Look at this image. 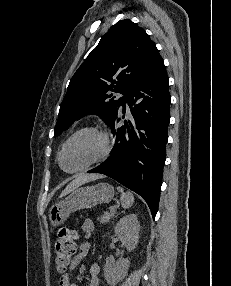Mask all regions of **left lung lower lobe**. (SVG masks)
<instances>
[{
	"instance_id": "obj_1",
	"label": "left lung lower lobe",
	"mask_w": 231,
	"mask_h": 286,
	"mask_svg": "<svg viewBox=\"0 0 231 286\" xmlns=\"http://www.w3.org/2000/svg\"><path fill=\"white\" fill-rule=\"evenodd\" d=\"M125 102L131 111L129 121L119 126L117 113L109 125L116 137L112 154L88 172L105 174L139 194L154 218L158 210L170 122L169 81L162 58L127 90L120 105L123 113Z\"/></svg>"
}]
</instances>
